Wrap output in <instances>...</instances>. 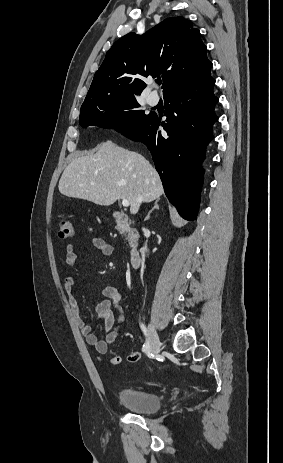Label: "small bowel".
I'll return each mask as SVG.
<instances>
[{"instance_id":"1","label":"small bowel","mask_w":283,"mask_h":463,"mask_svg":"<svg viewBox=\"0 0 283 463\" xmlns=\"http://www.w3.org/2000/svg\"><path fill=\"white\" fill-rule=\"evenodd\" d=\"M92 245L97 248L103 255H110L113 252L111 244L106 242L103 238L98 236L91 237ZM66 250V263L69 267H74L78 262V254L72 244H68ZM75 278L71 275L65 278V291L68 295L69 304L71 310L75 316L77 324L81 330V333L86 338L89 345L93 346L97 353L107 354L109 353V363L112 365H118L122 361L120 354L111 351L109 346L112 345L119 336L120 327L124 321L122 314L121 301L123 294L120 290L115 287L108 286L102 290V294L106 297L104 301L99 303L95 307V311L98 318L104 321L105 337L103 340H99L96 334L93 333L92 326L88 324L80 316V303L74 295ZM126 358L129 362H136L140 358V354L137 350H130L127 352Z\"/></svg>"}]
</instances>
